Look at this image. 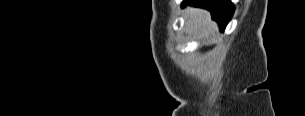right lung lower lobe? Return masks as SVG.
<instances>
[{"label":"right lung lower lobe","mask_w":305,"mask_h":116,"mask_svg":"<svg viewBox=\"0 0 305 116\" xmlns=\"http://www.w3.org/2000/svg\"><path fill=\"white\" fill-rule=\"evenodd\" d=\"M186 5L202 7L210 11L213 20L217 21L223 31L230 21L234 5L230 0H183L182 7Z\"/></svg>","instance_id":"obj_1"}]
</instances>
